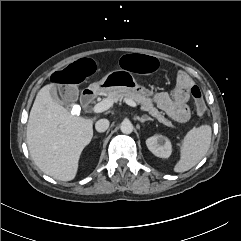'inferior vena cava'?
Instances as JSON below:
<instances>
[{
	"label": "inferior vena cava",
	"mask_w": 241,
	"mask_h": 241,
	"mask_svg": "<svg viewBox=\"0 0 241 241\" xmlns=\"http://www.w3.org/2000/svg\"><path fill=\"white\" fill-rule=\"evenodd\" d=\"M109 127V121L107 119H100L95 123V129L97 132H105Z\"/></svg>",
	"instance_id": "inferior-vena-cava-1"
}]
</instances>
